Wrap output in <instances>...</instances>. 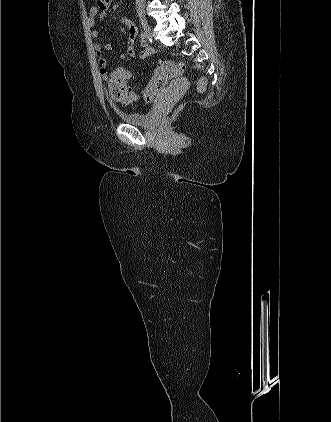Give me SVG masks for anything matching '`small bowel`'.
I'll list each match as a JSON object with an SVG mask.
<instances>
[{
    "instance_id": "1",
    "label": "small bowel",
    "mask_w": 331,
    "mask_h": 422,
    "mask_svg": "<svg viewBox=\"0 0 331 422\" xmlns=\"http://www.w3.org/2000/svg\"><path fill=\"white\" fill-rule=\"evenodd\" d=\"M114 0H95L94 5L89 10L88 15V23L91 27V35L93 38H97L99 36L98 30L95 28L96 20L100 23L104 22L107 18V12L111 5L113 4ZM122 23L124 27H119V31L123 34L126 41V49L120 54L121 59H127L129 57H134L136 55V51L134 48L135 39L137 36V28L133 21L129 19L127 16L122 18ZM97 63L100 70V74L102 78L107 81L109 80L110 74L108 73L107 69V59L104 56L105 51L112 50V44L106 43L104 45L100 43H95L94 45ZM152 53V49L150 46L145 42H141V51L139 56L141 59H146ZM164 85V81L158 80L154 78L148 85L146 89V95L148 100L152 99V97L159 92ZM133 99L126 100L124 103H130Z\"/></svg>"
}]
</instances>
